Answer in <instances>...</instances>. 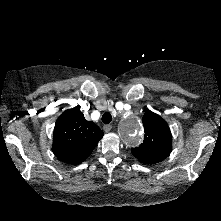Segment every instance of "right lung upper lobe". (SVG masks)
Masks as SVG:
<instances>
[{"instance_id":"1","label":"right lung upper lobe","mask_w":221,"mask_h":221,"mask_svg":"<svg viewBox=\"0 0 221 221\" xmlns=\"http://www.w3.org/2000/svg\"><path fill=\"white\" fill-rule=\"evenodd\" d=\"M104 133L87 121L78 107L64 111L56 121L52 150L61 161L83 162L94 150Z\"/></svg>"}]
</instances>
